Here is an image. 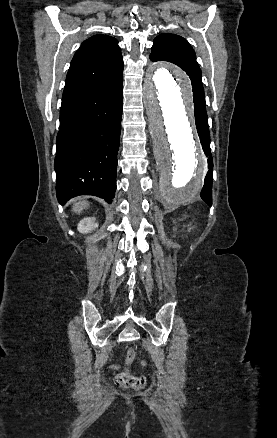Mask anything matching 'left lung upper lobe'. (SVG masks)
I'll return each instance as SVG.
<instances>
[{
	"mask_svg": "<svg viewBox=\"0 0 277 438\" xmlns=\"http://www.w3.org/2000/svg\"><path fill=\"white\" fill-rule=\"evenodd\" d=\"M151 51V61L172 62L189 75L193 87L194 111L206 113L201 70L196 62L195 52L187 40L176 34L163 33L154 39Z\"/></svg>",
	"mask_w": 277,
	"mask_h": 438,
	"instance_id": "1",
	"label": "left lung upper lobe"
}]
</instances>
